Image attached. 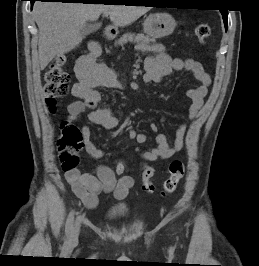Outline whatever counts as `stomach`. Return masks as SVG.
Here are the masks:
<instances>
[{
    "instance_id": "stomach-1",
    "label": "stomach",
    "mask_w": 259,
    "mask_h": 266,
    "mask_svg": "<svg viewBox=\"0 0 259 266\" xmlns=\"http://www.w3.org/2000/svg\"><path fill=\"white\" fill-rule=\"evenodd\" d=\"M175 27L176 22L174 18L167 13L151 14L143 23L144 33L153 39L171 35Z\"/></svg>"
}]
</instances>
